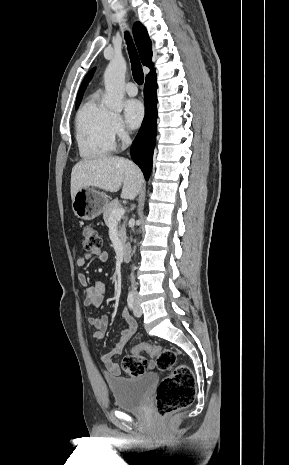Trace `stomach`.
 <instances>
[{
	"label": "stomach",
	"instance_id": "1",
	"mask_svg": "<svg viewBox=\"0 0 289 465\" xmlns=\"http://www.w3.org/2000/svg\"><path fill=\"white\" fill-rule=\"evenodd\" d=\"M108 205L107 196L93 188H82L72 200L74 214L82 220H93L101 215Z\"/></svg>",
	"mask_w": 289,
	"mask_h": 465
}]
</instances>
